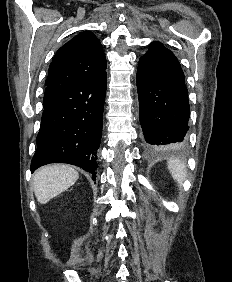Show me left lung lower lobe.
I'll return each instance as SVG.
<instances>
[{
    "label": "left lung lower lobe",
    "mask_w": 232,
    "mask_h": 282,
    "mask_svg": "<svg viewBox=\"0 0 232 282\" xmlns=\"http://www.w3.org/2000/svg\"><path fill=\"white\" fill-rule=\"evenodd\" d=\"M139 116L146 148H182L190 117L184 73L175 55L152 42L137 70Z\"/></svg>",
    "instance_id": "left-lung-lower-lobe-1"
}]
</instances>
